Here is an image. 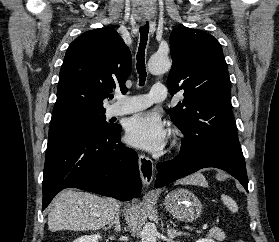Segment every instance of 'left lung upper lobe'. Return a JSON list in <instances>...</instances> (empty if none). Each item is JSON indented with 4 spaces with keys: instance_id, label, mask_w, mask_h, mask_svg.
<instances>
[{
    "instance_id": "1",
    "label": "left lung upper lobe",
    "mask_w": 279,
    "mask_h": 242,
    "mask_svg": "<svg viewBox=\"0 0 279 242\" xmlns=\"http://www.w3.org/2000/svg\"><path fill=\"white\" fill-rule=\"evenodd\" d=\"M172 68L167 85L184 101L170 117L183 132L180 152L222 151L243 156L231 109V82L220 43L210 34L187 27L170 35Z\"/></svg>"
}]
</instances>
